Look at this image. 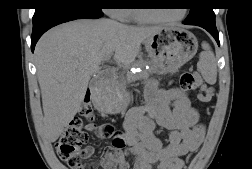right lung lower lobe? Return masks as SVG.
Returning <instances> with one entry per match:
<instances>
[{
	"instance_id": "98d812e1",
	"label": "right lung lower lobe",
	"mask_w": 252,
	"mask_h": 169,
	"mask_svg": "<svg viewBox=\"0 0 252 169\" xmlns=\"http://www.w3.org/2000/svg\"><path fill=\"white\" fill-rule=\"evenodd\" d=\"M102 16V12L75 5L74 0H51L48 8L35 12L33 16L32 52L38 39L51 27L75 19H97Z\"/></svg>"
}]
</instances>
